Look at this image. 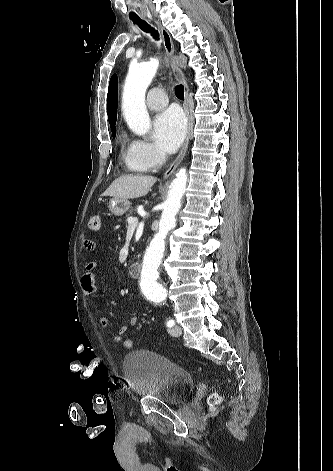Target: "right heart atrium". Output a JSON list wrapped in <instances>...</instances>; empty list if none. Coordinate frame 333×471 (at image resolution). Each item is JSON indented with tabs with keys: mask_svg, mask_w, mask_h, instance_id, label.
<instances>
[{
	"mask_svg": "<svg viewBox=\"0 0 333 471\" xmlns=\"http://www.w3.org/2000/svg\"><path fill=\"white\" fill-rule=\"evenodd\" d=\"M129 152L134 162L145 171L159 169L164 161V154L152 143L143 139H134L129 143Z\"/></svg>",
	"mask_w": 333,
	"mask_h": 471,
	"instance_id": "obj_1",
	"label": "right heart atrium"
}]
</instances>
